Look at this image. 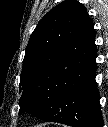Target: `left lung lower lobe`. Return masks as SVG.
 <instances>
[{"mask_svg":"<svg viewBox=\"0 0 108 127\" xmlns=\"http://www.w3.org/2000/svg\"><path fill=\"white\" fill-rule=\"evenodd\" d=\"M95 34L93 22L87 15L68 53L60 58L65 68L61 84L38 118L73 127H103L100 95L95 81Z\"/></svg>","mask_w":108,"mask_h":127,"instance_id":"left-lung-lower-lobe-1","label":"left lung lower lobe"}]
</instances>
